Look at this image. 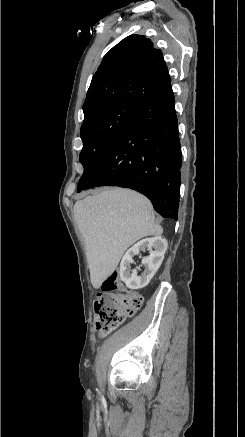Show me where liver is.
<instances>
[{
  "mask_svg": "<svg viewBox=\"0 0 245 437\" xmlns=\"http://www.w3.org/2000/svg\"><path fill=\"white\" fill-rule=\"evenodd\" d=\"M83 235L92 286L98 289L117 268L124 252L136 241L159 236L151 202L128 189L112 188L87 196L74 205Z\"/></svg>",
  "mask_w": 245,
  "mask_h": 437,
  "instance_id": "liver-1",
  "label": "liver"
}]
</instances>
